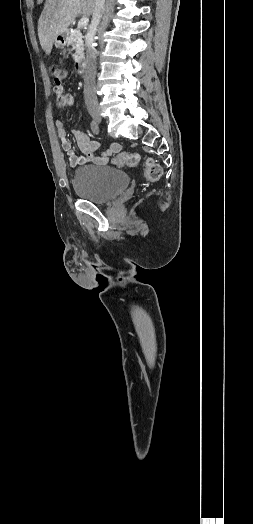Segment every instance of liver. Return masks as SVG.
<instances>
[{
    "instance_id": "obj_1",
    "label": "liver",
    "mask_w": 253,
    "mask_h": 524,
    "mask_svg": "<svg viewBox=\"0 0 253 524\" xmlns=\"http://www.w3.org/2000/svg\"><path fill=\"white\" fill-rule=\"evenodd\" d=\"M95 0H46L38 21V36L42 49L50 54L56 37L64 33L80 14H93Z\"/></svg>"
}]
</instances>
